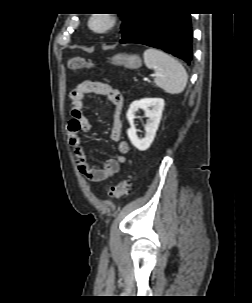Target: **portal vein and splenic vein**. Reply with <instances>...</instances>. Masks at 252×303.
I'll return each instance as SVG.
<instances>
[{
	"mask_svg": "<svg viewBox=\"0 0 252 303\" xmlns=\"http://www.w3.org/2000/svg\"><path fill=\"white\" fill-rule=\"evenodd\" d=\"M144 81H148V78H144Z\"/></svg>",
	"mask_w": 252,
	"mask_h": 303,
	"instance_id": "1",
	"label": "portal vein and splenic vein"
}]
</instances>
